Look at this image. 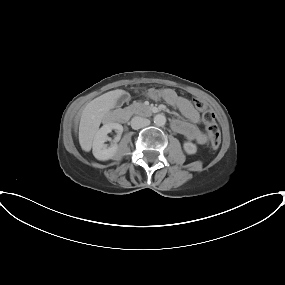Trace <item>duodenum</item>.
Segmentation results:
<instances>
[{
	"label": "duodenum",
	"mask_w": 285,
	"mask_h": 285,
	"mask_svg": "<svg viewBox=\"0 0 285 285\" xmlns=\"http://www.w3.org/2000/svg\"><path fill=\"white\" fill-rule=\"evenodd\" d=\"M133 112H135L136 114L141 115V116H149L152 113H154L155 110L151 107L141 105V106L133 108ZM122 115H123V112H118L115 116V119L116 120H123Z\"/></svg>",
	"instance_id": "duodenum-1"
}]
</instances>
